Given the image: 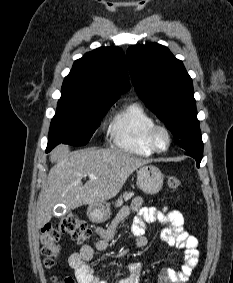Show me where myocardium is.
Instances as JSON below:
<instances>
[{
	"label": "myocardium",
	"mask_w": 233,
	"mask_h": 283,
	"mask_svg": "<svg viewBox=\"0 0 233 283\" xmlns=\"http://www.w3.org/2000/svg\"><path fill=\"white\" fill-rule=\"evenodd\" d=\"M163 134L166 138V145L163 148H160L157 145V136L159 134ZM147 142L149 147L155 152V153H163L166 152L170 146H171V142H172V138H171V134L170 131L163 125L160 124H155L154 126H152L150 128V130L148 131L147 134Z\"/></svg>",
	"instance_id": "obj_1"
}]
</instances>
